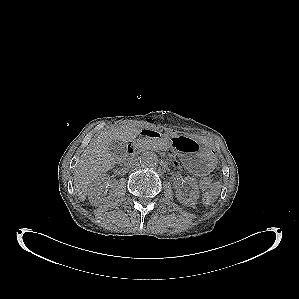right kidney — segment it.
<instances>
[{"label": "right kidney", "instance_id": "right-kidney-1", "mask_svg": "<svg viewBox=\"0 0 299 299\" xmlns=\"http://www.w3.org/2000/svg\"><path fill=\"white\" fill-rule=\"evenodd\" d=\"M116 181L110 180V178L102 174L95 179V181L90 185L88 189V199L93 206H100L104 203L106 198L104 195L106 194V189L108 187H114L116 185ZM108 200H113L112 193L107 197Z\"/></svg>", "mask_w": 299, "mask_h": 299}]
</instances>
